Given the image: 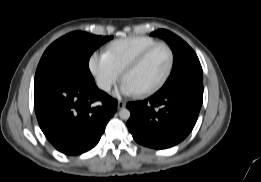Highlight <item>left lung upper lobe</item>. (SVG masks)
<instances>
[{
	"mask_svg": "<svg viewBox=\"0 0 261 182\" xmlns=\"http://www.w3.org/2000/svg\"><path fill=\"white\" fill-rule=\"evenodd\" d=\"M151 35L163 37L174 55L172 72L158 93L171 92L192 82H203V71L199 59L186 42L165 29H159Z\"/></svg>",
	"mask_w": 261,
	"mask_h": 182,
	"instance_id": "left-lung-upper-lobe-1",
	"label": "left lung upper lobe"
}]
</instances>
